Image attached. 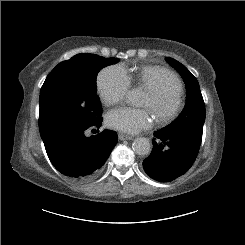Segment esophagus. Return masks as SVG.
Listing matches in <instances>:
<instances>
[{
    "label": "esophagus",
    "mask_w": 245,
    "mask_h": 245,
    "mask_svg": "<svg viewBox=\"0 0 245 245\" xmlns=\"http://www.w3.org/2000/svg\"><path fill=\"white\" fill-rule=\"evenodd\" d=\"M118 138H119V140L123 141V140H132L134 137L131 136V135H126V134H123V133H119L118 134Z\"/></svg>",
    "instance_id": "obj_1"
}]
</instances>
